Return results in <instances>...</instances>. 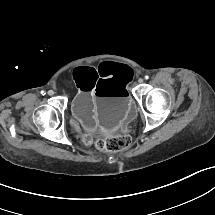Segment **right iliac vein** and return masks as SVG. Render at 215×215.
Here are the masks:
<instances>
[{"label":"right iliac vein","instance_id":"1","mask_svg":"<svg viewBox=\"0 0 215 215\" xmlns=\"http://www.w3.org/2000/svg\"><path fill=\"white\" fill-rule=\"evenodd\" d=\"M48 94H49L50 96H52V95L54 94V91H53V90H49V91H48Z\"/></svg>","mask_w":215,"mask_h":215}]
</instances>
